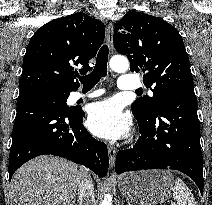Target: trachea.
<instances>
[{
  "instance_id": "obj_1",
  "label": "trachea",
  "mask_w": 212,
  "mask_h": 205,
  "mask_svg": "<svg viewBox=\"0 0 212 205\" xmlns=\"http://www.w3.org/2000/svg\"><path fill=\"white\" fill-rule=\"evenodd\" d=\"M108 54V46L103 45L98 52L93 71L86 76L79 77V80L83 84L84 88L91 89L99 82L102 77L107 75ZM136 92L139 93V91Z\"/></svg>"
}]
</instances>
